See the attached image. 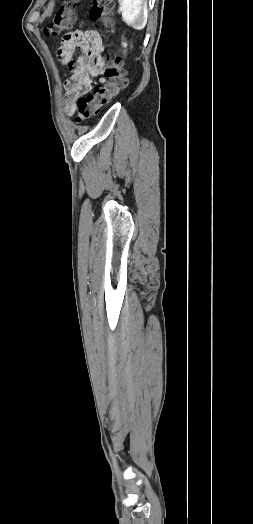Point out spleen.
Instances as JSON below:
<instances>
[{
	"instance_id": "1",
	"label": "spleen",
	"mask_w": 253,
	"mask_h": 524,
	"mask_svg": "<svg viewBox=\"0 0 253 524\" xmlns=\"http://www.w3.org/2000/svg\"><path fill=\"white\" fill-rule=\"evenodd\" d=\"M124 22L136 30H141L147 23V10L144 9V0H118Z\"/></svg>"
}]
</instances>
